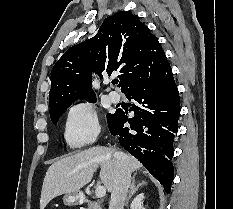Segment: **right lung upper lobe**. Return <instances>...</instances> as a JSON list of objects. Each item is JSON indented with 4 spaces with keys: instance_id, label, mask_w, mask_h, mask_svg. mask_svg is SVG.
Instances as JSON below:
<instances>
[{
    "instance_id": "right-lung-upper-lobe-1",
    "label": "right lung upper lobe",
    "mask_w": 233,
    "mask_h": 209,
    "mask_svg": "<svg viewBox=\"0 0 233 209\" xmlns=\"http://www.w3.org/2000/svg\"><path fill=\"white\" fill-rule=\"evenodd\" d=\"M169 65L158 39L137 15L119 11L107 17L97 34L68 49L51 71L50 112L78 99L96 100L92 72L100 78L119 73L126 94L153 80Z\"/></svg>"
}]
</instances>
